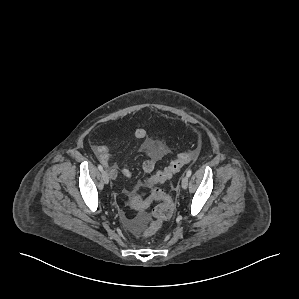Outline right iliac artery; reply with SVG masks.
I'll return each mask as SVG.
<instances>
[{
  "instance_id": "1",
  "label": "right iliac artery",
  "mask_w": 299,
  "mask_h": 299,
  "mask_svg": "<svg viewBox=\"0 0 299 299\" xmlns=\"http://www.w3.org/2000/svg\"><path fill=\"white\" fill-rule=\"evenodd\" d=\"M98 169H99L100 171H103V167H102L101 165H98Z\"/></svg>"
}]
</instances>
